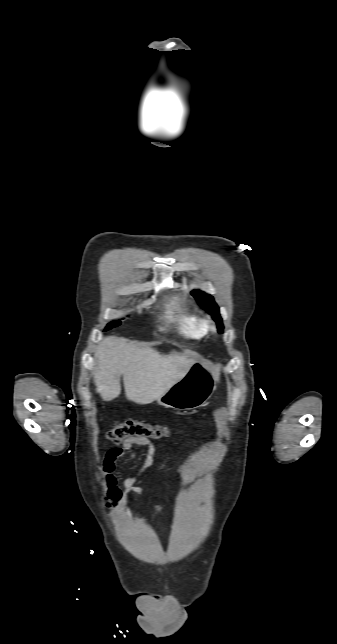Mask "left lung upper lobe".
<instances>
[{
  "label": "left lung upper lobe",
  "instance_id": "obj_1",
  "mask_svg": "<svg viewBox=\"0 0 337 644\" xmlns=\"http://www.w3.org/2000/svg\"><path fill=\"white\" fill-rule=\"evenodd\" d=\"M192 294L197 298L199 303L210 313L215 315V319L218 323L219 331L221 332L223 329V325L221 322V318L218 315V307L216 303L214 302V299L211 295L205 294L202 291L199 290H194Z\"/></svg>",
  "mask_w": 337,
  "mask_h": 644
}]
</instances>
